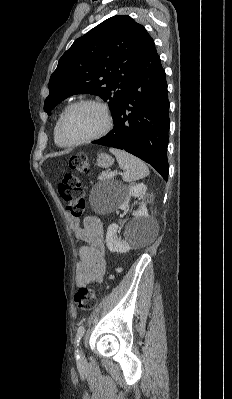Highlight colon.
<instances>
[{
  "mask_svg": "<svg viewBox=\"0 0 232 399\" xmlns=\"http://www.w3.org/2000/svg\"><path fill=\"white\" fill-rule=\"evenodd\" d=\"M73 172H87L91 169V159H86V153L81 155H74V163L71 164ZM65 180H62V185L59 186L61 194H69V196H82V186H79V182L75 181L79 179L78 175H65ZM67 212L72 214L73 218H80L82 212L86 211V198H66ZM102 283H107V278H102ZM77 294L81 296H75V301H81L76 303V308H81L82 312H95V306H98V298L101 297V289L99 284H94L93 290L89 289H77Z\"/></svg>",
  "mask_w": 232,
  "mask_h": 399,
  "instance_id": "5ec220e1",
  "label": "colon"
}]
</instances>
